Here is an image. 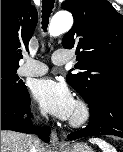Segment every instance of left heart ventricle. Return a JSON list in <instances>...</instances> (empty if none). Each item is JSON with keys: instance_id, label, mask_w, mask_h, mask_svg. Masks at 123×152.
Masks as SVG:
<instances>
[{"instance_id": "obj_1", "label": "left heart ventricle", "mask_w": 123, "mask_h": 152, "mask_svg": "<svg viewBox=\"0 0 123 152\" xmlns=\"http://www.w3.org/2000/svg\"><path fill=\"white\" fill-rule=\"evenodd\" d=\"M76 114V107L74 108V111L72 113V116Z\"/></svg>"}]
</instances>
